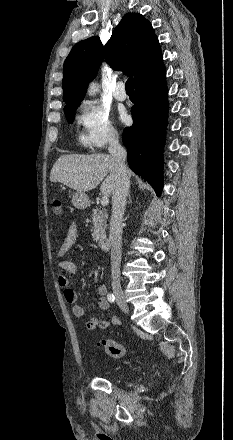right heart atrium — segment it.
I'll return each mask as SVG.
<instances>
[{
	"mask_svg": "<svg viewBox=\"0 0 233 440\" xmlns=\"http://www.w3.org/2000/svg\"><path fill=\"white\" fill-rule=\"evenodd\" d=\"M77 122L80 126L79 143L88 151L98 152L117 138L109 113L95 101L81 104Z\"/></svg>",
	"mask_w": 233,
	"mask_h": 440,
	"instance_id": "1",
	"label": "right heart atrium"
}]
</instances>
